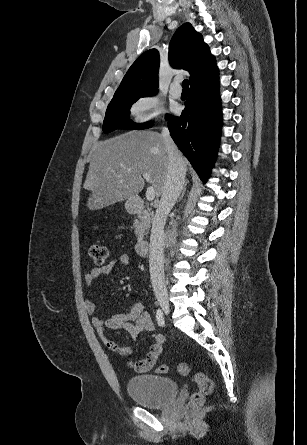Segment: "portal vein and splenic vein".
I'll list each match as a JSON object with an SVG mask.
<instances>
[{
	"label": "portal vein and splenic vein",
	"mask_w": 307,
	"mask_h": 445,
	"mask_svg": "<svg viewBox=\"0 0 307 445\" xmlns=\"http://www.w3.org/2000/svg\"><path fill=\"white\" fill-rule=\"evenodd\" d=\"M142 176L143 178H145V180H147V182H150V174H148V172H143ZM146 198L147 200H154L155 198L154 186H148L146 190Z\"/></svg>",
	"instance_id": "obj_1"
}]
</instances>
